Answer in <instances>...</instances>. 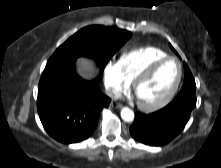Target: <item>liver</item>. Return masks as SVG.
<instances>
[{"instance_id":"liver-1","label":"liver","mask_w":221,"mask_h":168,"mask_svg":"<svg viewBox=\"0 0 221 168\" xmlns=\"http://www.w3.org/2000/svg\"><path fill=\"white\" fill-rule=\"evenodd\" d=\"M79 62L81 65L84 66L83 68L80 69L81 74L85 78L91 79L93 77V72H94V67L92 66V63L84 59H80Z\"/></svg>"}]
</instances>
